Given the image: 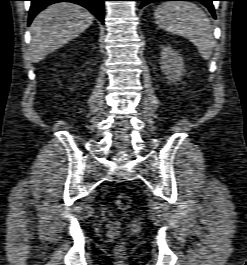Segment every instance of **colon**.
I'll return each mask as SVG.
<instances>
[{
    "instance_id": "1",
    "label": "colon",
    "mask_w": 247,
    "mask_h": 265,
    "mask_svg": "<svg viewBox=\"0 0 247 265\" xmlns=\"http://www.w3.org/2000/svg\"><path fill=\"white\" fill-rule=\"evenodd\" d=\"M116 205L121 211H127L131 206V197L127 193H120L116 198ZM116 251L123 253L125 251V245L119 243L116 246Z\"/></svg>"
}]
</instances>
